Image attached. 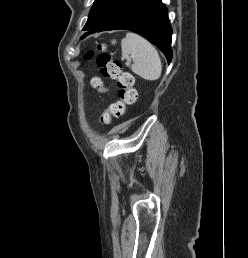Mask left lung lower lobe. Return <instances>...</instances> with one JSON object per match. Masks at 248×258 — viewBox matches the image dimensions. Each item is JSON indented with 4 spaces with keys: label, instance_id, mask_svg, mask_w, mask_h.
<instances>
[{
    "label": "left lung lower lobe",
    "instance_id": "obj_1",
    "mask_svg": "<svg viewBox=\"0 0 248 258\" xmlns=\"http://www.w3.org/2000/svg\"><path fill=\"white\" fill-rule=\"evenodd\" d=\"M167 12L161 0H128L113 15L89 30L81 38L100 31L130 30L144 36L157 46L170 63L172 27Z\"/></svg>",
    "mask_w": 248,
    "mask_h": 258
}]
</instances>
